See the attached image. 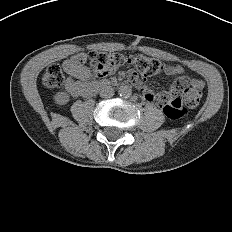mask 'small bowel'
<instances>
[{"label": "small bowel", "mask_w": 232, "mask_h": 232, "mask_svg": "<svg viewBox=\"0 0 232 232\" xmlns=\"http://www.w3.org/2000/svg\"><path fill=\"white\" fill-rule=\"evenodd\" d=\"M76 58V57H75ZM75 58L69 59L64 63L66 72H68L71 78L66 83L67 91L73 96H88L87 86L90 84L88 79L90 77L89 70L83 65L77 64ZM165 73L169 76H177L184 74V68L180 65H168L165 68ZM124 77L129 82H134L143 94L145 100L156 102V97L149 89L142 86L138 80V74L135 70L129 69L125 72ZM183 78V77H181ZM193 87H204V82L201 79H193L191 81ZM161 107V106H160Z\"/></svg>", "instance_id": "obj_1"}]
</instances>
